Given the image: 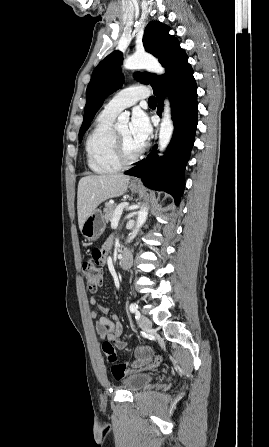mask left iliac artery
I'll use <instances>...</instances> for the list:
<instances>
[{
    "label": "left iliac artery",
    "instance_id": "obj_1",
    "mask_svg": "<svg viewBox=\"0 0 269 447\" xmlns=\"http://www.w3.org/2000/svg\"><path fill=\"white\" fill-rule=\"evenodd\" d=\"M129 308L132 313L136 314V317H140V313L138 311V305L136 303L130 304Z\"/></svg>",
    "mask_w": 269,
    "mask_h": 447
}]
</instances>
